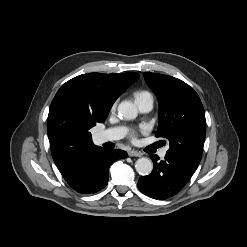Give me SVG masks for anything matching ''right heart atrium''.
<instances>
[{
  "label": "right heart atrium",
  "mask_w": 247,
  "mask_h": 247,
  "mask_svg": "<svg viewBox=\"0 0 247 247\" xmlns=\"http://www.w3.org/2000/svg\"><path fill=\"white\" fill-rule=\"evenodd\" d=\"M115 107H116V104L114 103L113 105H112V110H114L115 109Z\"/></svg>",
  "instance_id": "right-heart-atrium-1"
}]
</instances>
